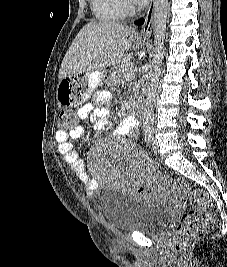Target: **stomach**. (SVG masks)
I'll list each match as a JSON object with an SVG mask.
<instances>
[{
  "label": "stomach",
  "mask_w": 227,
  "mask_h": 267,
  "mask_svg": "<svg viewBox=\"0 0 227 267\" xmlns=\"http://www.w3.org/2000/svg\"><path fill=\"white\" fill-rule=\"evenodd\" d=\"M104 70L82 72L71 77H61L56 101L60 107H78L86 103L89 96L104 78Z\"/></svg>",
  "instance_id": "1"
}]
</instances>
